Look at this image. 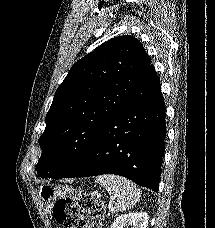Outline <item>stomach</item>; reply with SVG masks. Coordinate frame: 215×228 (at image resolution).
I'll use <instances>...</instances> for the list:
<instances>
[{
    "label": "stomach",
    "mask_w": 215,
    "mask_h": 228,
    "mask_svg": "<svg viewBox=\"0 0 215 228\" xmlns=\"http://www.w3.org/2000/svg\"><path fill=\"white\" fill-rule=\"evenodd\" d=\"M75 190L70 186H56V184H42L39 188V196L44 202L45 208L53 214L57 200L71 198Z\"/></svg>",
    "instance_id": "stomach-1"
}]
</instances>
